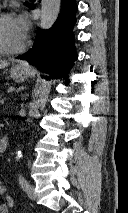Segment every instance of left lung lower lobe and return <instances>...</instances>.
I'll list each match as a JSON object with an SVG mask.
<instances>
[{
    "label": "left lung lower lobe",
    "instance_id": "0a47b994",
    "mask_svg": "<svg viewBox=\"0 0 128 213\" xmlns=\"http://www.w3.org/2000/svg\"><path fill=\"white\" fill-rule=\"evenodd\" d=\"M28 7L35 8L32 4ZM77 10L75 0H61V11L54 25L48 30L39 29L32 49L17 59L29 61L54 78L65 77L77 59L73 34Z\"/></svg>",
    "mask_w": 128,
    "mask_h": 213
}]
</instances>
